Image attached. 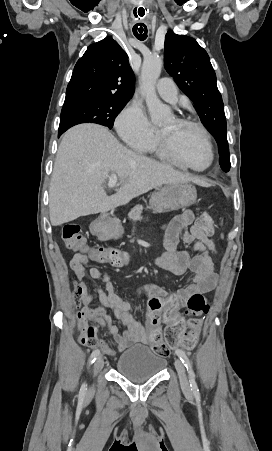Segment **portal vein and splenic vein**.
<instances>
[{
	"label": "portal vein and splenic vein",
	"instance_id": "18ae733b",
	"mask_svg": "<svg viewBox=\"0 0 272 451\" xmlns=\"http://www.w3.org/2000/svg\"><path fill=\"white\" fill-rule=\"evenodd\" d=\"M79 164H81V162H79ZM116 184H117V176L116 174H111L108 182L109 188H115ZM138 218H140V216H135L134 220H138Z\"/></svg>",
	"mask_w": 272,
	"mask_h": 451
}]
</instances>
